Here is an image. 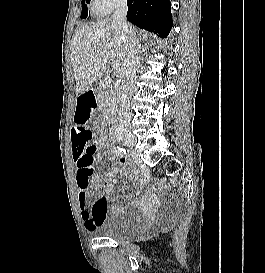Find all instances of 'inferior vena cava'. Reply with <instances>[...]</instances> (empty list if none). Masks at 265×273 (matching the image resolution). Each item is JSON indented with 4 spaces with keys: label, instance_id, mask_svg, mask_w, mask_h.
<instances>
[{
    "label": "inferior vena cava",
    "instance_id": "obj_1",
    "mask_svg": "<svg viewBox=\"0 0 265 273\" xmlns=\"http://www.w3.org/2000/svg\"><path fill=\"white\" fill-rule=\"evenodd\" d=\"M126 15L127 4L125 0H122L113 15V23L118 27L126 44V57L120 74L122 95L115 122V134L130 133V100L134 91V76L139 63V42L132 27L126 21Z\"/></svg>",
    "mask_w": 265,
    "mask_h": 273
}]
</instances>
